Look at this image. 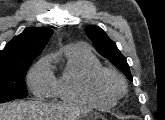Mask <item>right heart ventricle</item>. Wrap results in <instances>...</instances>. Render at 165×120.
Wrapping results in <instances>:
<instances>
[{
    "mask_svg": "<svg viewBox=\"0 0 165 120\" xmlns=\"http://www.w3.org/2000/svg\"><path fill=\"white\" fill-rule=\"evenodd\" d=\"M100 67L99 59L89 49L67 47L63 53L61 72L54 78L52 95L64 103L113 107L115 100L96 96L89 86L92 73Z\"/></svg>",
    "mask_w": 165,
    "mask_h": 120,
    "instance_id": "right-heart-ventricle-1",
    "label": "right heart ventricle"
}]
</instances>
